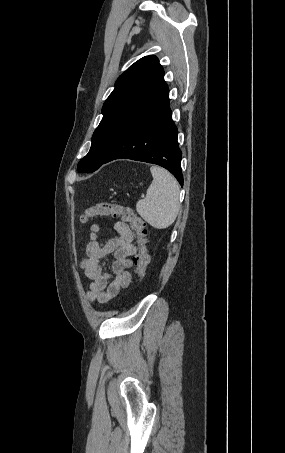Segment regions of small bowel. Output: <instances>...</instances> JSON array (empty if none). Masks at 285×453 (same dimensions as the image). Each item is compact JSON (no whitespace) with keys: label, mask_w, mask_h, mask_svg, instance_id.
<instances>
[{"label":"small bowel","mask_w":285,"mask_h":453,"mask_svg":"<svg viewBox=\"0 0 285 453\" xmlns=\"http://www.w3.org/2000/svg\"><path fill=\"white\" fill-rule=\"evenodd\" d=\"M114 228L117 236L101 243L97 237L99 225L94 224L91 227L90 240L80 263L86 277L91 280L88 291L90 301L105 303L131 282V257L137 253L133 244L134 235L125 222H117ZM109 256L113 257L111 270L114 276L105 271V260Z\"/></svg>","instance_id":"small-bowel-1"}]
</instances>
